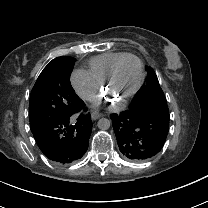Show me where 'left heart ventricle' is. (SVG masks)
Returning <instances> with one entry per match:
<instances>
[{
    "mask_svg": "<svg viewBox=\"0 0 208 208\" xmlns=\"http://www.w3.org/2000/svg\"><path fill=\"white\" fill-rule=\"evenodd\" d=\"M139 78L140 69L137 61L132 58L123 60L108 86V95L114 99L123 98L136 87Z\"/></svg>",
    "mask_w": 208,
    "mask_h": 208,
    "instance_id": "b2bd125f",
    "label": "left heart ventricle"
}]
</instances>
